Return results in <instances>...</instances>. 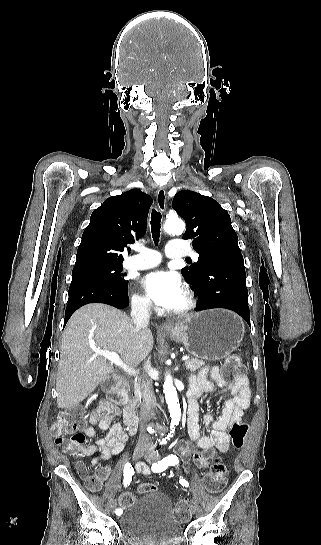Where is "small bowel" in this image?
Masks as SVG:
<instances>
[{
  "mask_svg": "<svg viewBox=\"0 0 321 545\" xmlns=\"http://www.w3.org/2000/svg\"><path fill=\"white\" fill-rule=\"evenodd\" d=\"M216 386L228 388L226 379L216 366L211 369L204 368L197 377L190 378L187 394L189 398L187 419L189 440L180 441L175 447L176 453L186 464L193 462L200 469L206 468L208 461L213 456V449L227 451L229 446L227 429L233 422L241 420L244 411L250 405L251 395L246 378L241 377L234 380L230 387V397L225 401L220 415L217 418L212 412L204 415L203 425L209 430L208 434H202L199 401L204 395L212 392ZM115 418V409L106 401H102L90 415V426L84 431L86 436L95 437L96 425L106 433L104 437L97 439L95 444L88 445L83 449L86 456L99 453V456L91 460L92 465L107 461L124 449L129 435L121 424L115 422ZM111 472V465L105 464L98 469L96 476L103 482ZM136 472L148 475L150 469L147 465L139 463L136 466Z\"/></svg>",
  "mask_w": 321,
  "mask_h": 545,
  "instance_id": "small-bowel-1",
  "label": "small bowel"
}]
</instances>
